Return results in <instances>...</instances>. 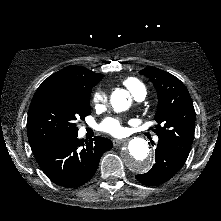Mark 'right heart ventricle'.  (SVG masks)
I'll use <instances>...</instances> for the list:
<instances>
[{
	"label": "right heart ventricle",
	"instance_id": "right-heart-ventricle-1",
	"mask_svg": "<svg viewBox=\"0 0 221 221\" xmlns=\"http://www.w3.org/2000/svg\"><path fill=\"white\" fill-rule=\"evenodd\" d=\"M123 84L133 96H135L138 92L145 90L144 85L136 78H128L123 82Z\"/></svg>",
	"mask_w": 221,
	"mask_h": 221
}]
</instances>
